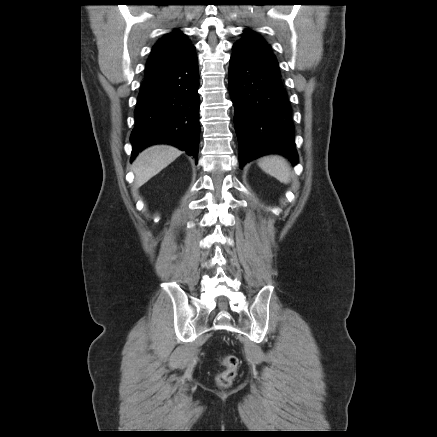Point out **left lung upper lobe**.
<instances>
[{
	"instance_id": "obj_1",
	"label": "left lung upper lobe",
	"mask_w": 437,
	"mask_h": 437,
	"mask_svg": "<svg viewBox=\"0 0 437 437\" xmlns=\"http://www.w3.org/2000/svg\"><path fill=\"white\" fill-rule=\"evenodd\" d=\"M243 35V38L236 43L247 47L263 58L270 66L279 71V65L271 50V46L268 45L267 42L254 31L245 30Z\"/></svg>"
}]
</instances>
